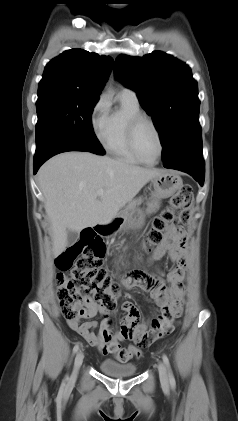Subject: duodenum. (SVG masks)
<instances>
[{
  "instance_id": "1",
  "label": "duodenum",
  "mask_w": 238,
  "mask_h": 421,
  "mask_svg": "<svg viewBox=\"0 0 238 421\" xmlns=\"http://www.w3.org/2000/svg\"><path fill=\"white\" fill-rule=\"evenodd\" d=\"M110 226L106 224H97L93 227V229H89L94 234L97 233L99 235H104L110 230Z\"/></svg>"
}]
</instances>
